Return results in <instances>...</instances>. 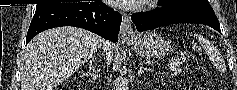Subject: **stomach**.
I'll return each mask as SVG.
<instances>
[{"instance_id":"0dacf381","label":"stomach","mask_w":237,"mask_h":90,"mask_svg":"<svg viewBox=\"0 0 237 90\" xmlns=\"http://www.w3.org/2000/svg\"><path fill=\"white\" fill-rule=\"evenodd\" d=\"M128 44L143 57H164L172 52L170 43L155 32L142 33Z\"/></svg>"}]
</instances>
